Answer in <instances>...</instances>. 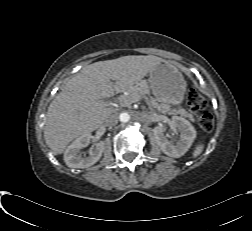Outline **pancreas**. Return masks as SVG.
Returning <instances> with one entry per match:
<instances>
[{
  "mask_svg": "<svg viewBox=\"0 0 252 231\" xmlns=\"http://www.w3.org/2000/svg\"><path fill=\"white\" fill-rule=\"evenodd\" d=\"M134 101L132 95H129V96H123L121 99H120V102H121V106H129L131 105V103ZM173 114H179L180 116L182 117H185V118H188L190 119L191 121H195L194 117L192 114L188 113L185 109H179L177 111H173Z\"/></svg>",
  "mask_w": 252,
  "mask_h": 231,
  "instance_id": "1",
  "label": "pancreas"
}]
</instances>
